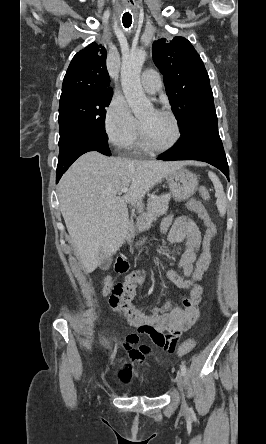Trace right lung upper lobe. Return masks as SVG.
Masks as SVG:
<instances>
[{
	"label": "right lung upper lobe",
	"mask_w": 266,
	"mask_h": 444,
	"mask_svg": "<svg viewBox=\"0 0 266 444\" xmlns=\"http://www.w3.org/2000/svg\"><path fill=\"white\" fill-rule=\"evenodd\" d=\"M112 90L106 69V50L92 43L73 57L65 74L60 101Z\"/></svg>",
	"instance_id": "cb5924a9"
}]
</instances>
